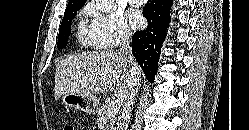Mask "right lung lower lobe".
I'll use <instances>...</instances> for the list:
<instances>
[{
  "label": "right lung lower lobe",
  "mask_w": 249,
  "mask_h": 130,
  "mask_svg": "<svg viewBox=\"0 0 249 130\" xmlns=\"http://www.w3.org/2000/svg\"><path fill=\"white\" fill-rule=\"evenodd\" d=\"M172 0L148 1L143 13L148 27L132 37V54L141 66L147 80L154 81L166 29L170 22Z\"/></svg>",
  "instance_id": "obj_1"
}]
</instances>
